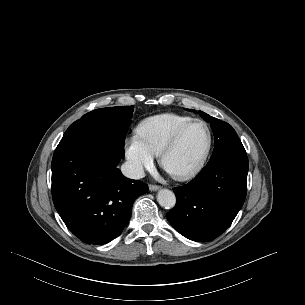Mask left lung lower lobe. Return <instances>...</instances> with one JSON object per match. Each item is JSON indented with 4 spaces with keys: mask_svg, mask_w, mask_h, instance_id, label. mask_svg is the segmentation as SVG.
<instances>
[{
    "mask_svg": "<svg viewBox=\"0 0 305 305\" xmlns=\"http://www.w3.org/2000/svg\"><path fill=\"white\" fill-rule=\"evenodd\" d=\"M247 173L246 152H230L209 161L192 181L173 188L177 202L166 215L168 221L190 240L215 239L244 203Z\"/></svg>",
    "mask_w": 305,
    "mask_h": 305,
    "instance_id": "left-lung-lower-lobe-1",
    "label": "left lung lower lobe"
}]
</instances>
